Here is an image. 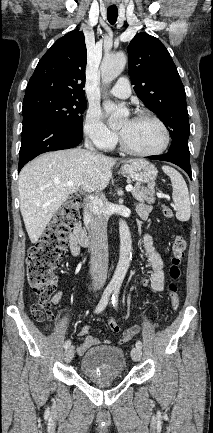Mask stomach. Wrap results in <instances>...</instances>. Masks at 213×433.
<instances>
[{"mask_svg": "<svg viewBox=\"0 0 213 433\" xmlns=\"http://www.w3.org/2000/svg\"><path fill=\"white\" fill-rule=\"evenodd\" d=\"M121 171L139 183H153L157 177V169L146 160H133L121 166Z\"/></svg>", "mask_w": 213, "mask_h": 433, "instance_id": "0dacf381", "label": "stomach"}]
</instances>
